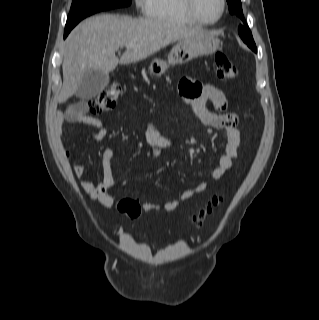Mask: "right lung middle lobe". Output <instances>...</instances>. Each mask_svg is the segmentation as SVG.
<instances>
[{"instance_id":"1","label":"right lung middle lobe","mask_w":319,"mask_h":320,"mask_svg":"<svg viewBox=\"0 0 319 320\" xmlns=\"http://www.w3.org/2000/svg\"><path fill=\"white\" fill-rule=\"evenodd\" d=\"M132 0H73L65 30L72 29L82 19L94 13L131 4Z\"/></svg>"}]
</instances>
